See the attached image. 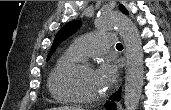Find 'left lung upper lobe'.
<instances>
[{
	"mask_svg": "<svg viewBox=\"0 0 171 110\" xmlns=\"http://www.w3.org/2000/svg\"><path fill=\"white\" fill-rule=\"evenodd\" d=\"M120 10L123 13L128 14L127 10L122 5H120ZM80 26H81V22L78 20H75V21H71L67 23L58 31V33L56 34L54 38L47 60L50 58V56L53 54V52L56 50L59 44L62 41H64L66 38L71 36L73 33H75L79 29Z\"/></svg>",
	"mask_w": 171,
	"mask_h": 110,
	"instance_id": "5c2ea615",
	"label": "left lung upper lobe"
}]
</instances>
